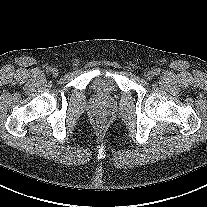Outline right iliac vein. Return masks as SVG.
Returning <instances> with one entry per match:
<instances>
[{"label":"right iliac vein","mask_w":207,"mask_h":207,"mask_svg":"<svg viewBox=\"0 0 207 207\" xmlns=\"http://www.w3.org/2000/svg\"><path fill=\"white\" fill-rule=\"evenodd\" d=\"M58 74H59L58 69L53 68V69H52V75H53V76H58Z\"/></svg>","instance_id":"63e3f726"}]
</instances>
